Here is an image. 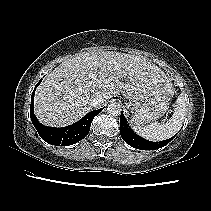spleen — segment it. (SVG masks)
Here are the masks:
<instances>
[{"label": "spleen", "mask_w": 211, "mask_h": 211, "mask_svg": "<svg viewBox=\"0 0 211 211\" xmlns=\"http://www.w3.org/2000/svg\"><path fill=\"white\" fill-rule=\"evenodd\" d=\"M185 109V98L183 95H179L174 113L166 123L155 122L147 126L135 125L133 128L140 136L151 141L169 139L180 130L185 119Z\"/></svg>", "instance_id": "obj_1"}]
</instances>
